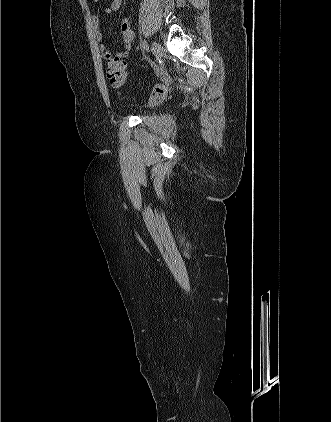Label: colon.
Instances as JSON below:
<instances>
[{"label":"colon","mask_w":331,"mask_h":422,"mask_svg":"<svg viewBox=\"0 0 331 422\" xmlns=\"http://www.w3.org/2000/svg\"><path fill=\"white\" fill-rule=\"evenodd\" d=\"M106 76L110 85L114 89H121L126 84L127 72L126 63L121 58L109 60L106 65ZM165 87L163 84H157L152 92V102L158 103L164 98Z\"/></svg>","instance_id":"obj_1"}]
</instances>
